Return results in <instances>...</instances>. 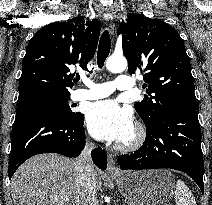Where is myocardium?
<instances>
[{
	"instance_id": "obj_1",
	"label": "myocardium",
	"mask_w": 212,
	"mask_h": 205,
	"mask_svg": "<svg viewBox=\"0 0 212 205\" xmlns=\"http://www.w3.org/2000/svg\"><path fill=\"white\" fill-rule=\"evenodd\" d=\"M146 139V129L143 125L137 124L129 140L123 141L118 148L122 151H134L140 148Z\"/></svg>"
}]
</instances>
